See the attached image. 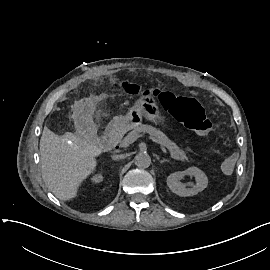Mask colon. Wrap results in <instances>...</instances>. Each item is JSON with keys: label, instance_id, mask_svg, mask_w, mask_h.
<instances>
[{"label": "colon", "instance_id": "colon-1", "mask_svg": "<svg viewBox=\"0 0 270 270\" xmlns=\"http://www.w3.org/2000/svg\"><path fill=\"white\" fill-rule=\"evenodd\" d=\"M125 91L130 96L143 95L146 98H158L165 112L197 133L208 134L213 129V122L205 116L201 105L195 99L187 98L169 90L151 91L143 89L132 82L125 84ZM220 170L225 176H230L234 172V159L225 157L220 163Z\"/></svg>", "mask_w": 270, "mask_h": 270}]
</instances>
